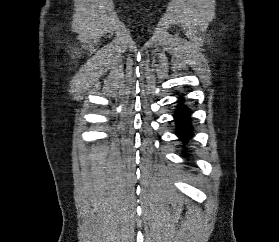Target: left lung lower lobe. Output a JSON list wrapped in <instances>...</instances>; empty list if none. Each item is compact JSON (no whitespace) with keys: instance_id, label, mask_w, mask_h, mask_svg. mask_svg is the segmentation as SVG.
<instances>
[{"instance_id":"obj_1","label":"left lung lower lobe","mask_w":279,"mask_h":242,"mask_svg":"<svg viewBox=\"0 0 279 242\" xmlns=\"http://www.w3.org/2000/svg\"><path fill=\"white\" fill-rule=\"evenodd\" d=\"M182 100V98H181ZM176 122V134L182 141H186L191 135L192 127L189 122V111L185 105H179L174 113Z\"/></svg>"}]
</instances>
